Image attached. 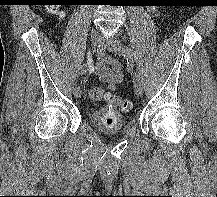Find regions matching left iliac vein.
I'll return each instance as SVG.
<instances>
[{
    "mask_svg": "<svg viewBox=\"0 0 217 197\" xmlns=\"http://www.w3.org/2000/svg\"><path fill=\"white\" fill-rule=\"evenodd\" d=\"M102 44L112 53H120L118 49V41L116 39H103ZM133 84L135 88V93L139 96L143 94V82L138 73H133Z\"/></svg>",
    "mask_w": 217,
    "mask_h": 197,
    "instance_id": "1",
    "label": "left iliac vein"
}]
</instances>
